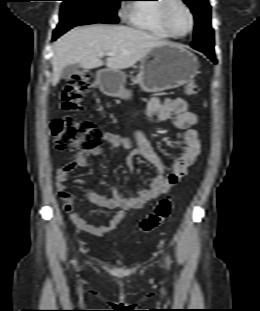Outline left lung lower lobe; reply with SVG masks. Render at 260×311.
I'll return each mask as SVG.
<instances>
[{
    "label": "left lung lower lobe",
    "instance_id": "0a47b994",
    "mask_svg": "<svg viewBox=\"0 0 260 311\" xmlns=\"http://www.w3.org/2000/svg\"><path fill=\"white\" fill-rule=\"evenodd\" d=\"M194 49L203 52V53L206 54L214 63H217V60H216L215 55H214V49H206V48H201V47H197V48H194Z\"/></svg>",
    "mask_w": 260,
    "mask_h": 311
}]
</instances>
